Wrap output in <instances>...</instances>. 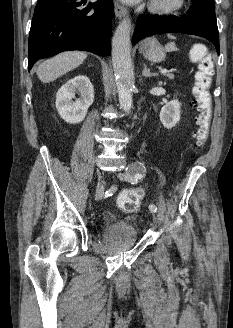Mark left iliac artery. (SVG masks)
<instances>
[{
    "label": "left iliac artery",
    "instance_id": "44dca946",
    "mask_svg": "<svg viewBox=\"0 0 233 328\" xmlns=\"http://www.w3.org/2000/svg\"><path fill=\"white\" fill-rule=\"evenodd\" d=\"M143 178V174H141V173H137V174H135V176H134V178H133V180L131 181L133 184H136L139 180H141ZM149 210L151 211V212H156L157 211V207H156V205H154V204H150L149 205Z\"/></svg>",
    "mask_w": 233,
    "mask_h": 328
}]
</instances>
